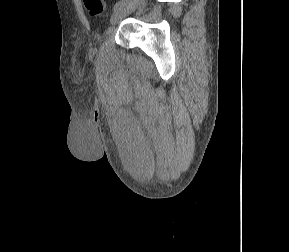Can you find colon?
Masks as SVG:
<instances>
[{
    "label": "colon",
    "instance_id": "colon-1",
    "mask_svg": "<svg viewBox=\"0 0 289 252\" xmlns=\"http://www.w3.org/2000/svg\"><path fill=\"white\" fill-rule=\"evenodd\" d=\"M83 2L91 16H100L105 12L104 0H83Z\"/></svg>",
    "mask_w": 289,
    "mask_h": 252
}]
</instances>
